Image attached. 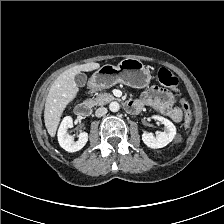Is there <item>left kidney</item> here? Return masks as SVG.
I'll list each match as a JSON object with an SVG mask.
<instances>
[{
	"label": "left kidney",
	"instance_id": "obj_1",
	"mask_svg": "<svg viewBox=\"0 0 224 224\" xmlns=\"http://www.w3.org/2000/svg\"><path fill=\"white\" fill-rule=\"evenodd\" d=\"M153 118L164 124L165 131L160 132L157 136H154L152 133L144 132L142 134V140L148 147L158 149L165 147L173 141L176 135V127L170 120L162 116L155 115Z\"/></svg>",
	"mask_w": 224,
	"mask_h": 224
}]
</instances>
